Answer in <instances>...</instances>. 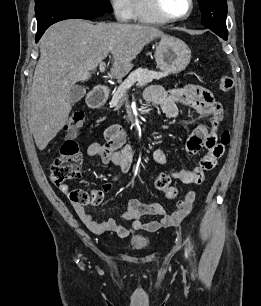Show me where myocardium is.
Wrapping results in <instances>:
<instances>
[{
    "label": "myocardium",
    "mask_w": 261,
    "mask_h": 306,
    "mask_svg": "<svg viewBox=\"0 0 261 306\" xmlns=\"http://www.w3.org/2000/svg\"><path fill=\"white\" fill-rule=\"evenodd\" d=\"M188 2L189 9L186 14L182 16L172 17L164 12L160 0H147L150 10L164 22H178L187 19L194 10V0H188Z\"/></svg>",
    "instance_id": "1"
}]
</instances>
